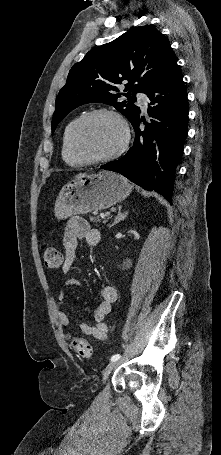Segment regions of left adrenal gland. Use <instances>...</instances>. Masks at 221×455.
<instances>
[{"mask_svg": "<svg viewBox=\"0 0 221 455\" xmlns=\"http://www.w3.org/2000/svg\"><path fill=\"white\" fill-rule=\"evenodd\" d=\"M121 208H122V207L119 206L117 216L115 217L114 222H113L111 225H109V227L115 226V225L118 224L121 220H124V219L126 218L128 212L126 211V212L122 213V212H121Z\"/></svg>", "mask_w": 221, "mask_h": 455, "instance_id": "a2214340", "label": "left adrenal gland"}]
</instances>
